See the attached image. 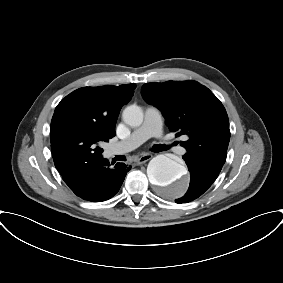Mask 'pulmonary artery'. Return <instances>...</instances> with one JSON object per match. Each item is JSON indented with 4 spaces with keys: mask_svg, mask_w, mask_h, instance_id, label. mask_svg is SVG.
Instances as JSON below:
<instances>
[{
    "mask_svg": "<svg viewBox=\"0 0 283 283\" xmlns=\"http://www.w3.org/2000/svg\"><path fill=\"white\" fill-rule=\"evenodd\" d=\"M162 123L161 112L155 107H147L142 125L125 140L113 144L111 153H126L137 148L150 137L160 138L162 136Z\"/></svg>",
    "mask_w": 283,
    "mask_h": 283,
    "instance_id": "pulmonary-artery-1",
    "label": "pulmonary artery"
}]
</instances>
